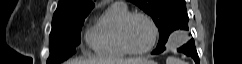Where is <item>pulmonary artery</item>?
<instances>
[{
	"label": "pulmonary artery",
	"instance_id": "pulmonary-artery-1",
	"mask_svg": "<svg viewBox=\"0 0 242 64\" xmlns=\"http://www.w3.org/2000/svg\"><path fill=\"white\" fill-rule=\"evenodd\" d=\"M116 3L125 5V3L123 1H119V2H116Z\"/></svg>",
	"mask_w": 242,
	"mask_h": 64
}]
</instances>
